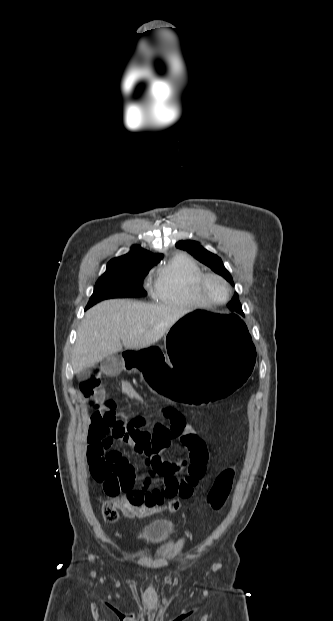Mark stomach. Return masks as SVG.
Here are the masks:
<instances>
[{"label": "stomach", "mask_w": 333, "mask_h": 621, "mask_svg": "<svg viewBox=\"0 0 333 621\" xmlns=\"http://www.w3.org/2000/svg\"><path fill=\"white\" fill-rule=\"evenodd\" d=\"M164 340L127 348L122 356L147 379V392L172 399L180 409L231 402L253 375L255 342L238 316L204 310L181 314Z\"/></svg>", "instance_id": "1"}]
</instances>
